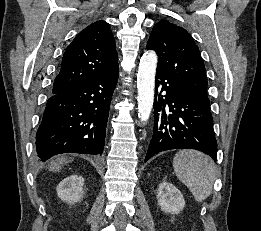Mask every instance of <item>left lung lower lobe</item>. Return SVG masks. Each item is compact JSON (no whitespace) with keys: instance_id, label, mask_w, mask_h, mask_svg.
Instances as JSON below:
<instances>
[{"instance_id":"0a47b994","label":"left lung lower lobe","mask_w":261,"mask_h":231,"mask_svg":"<svg viewBox=\"0 0 261 231\" xmlns=\"http://www.w3.org/2000/svg\"><path fill=\"white\" fill-rule=\"evenodd\" d=\"M155 92L154 129L145 162L170 149H196L216 160L217 142L210 103L190 97L175 81L158 70ZM159 92H166V95Z\"/></svg>"}]
</instances>
